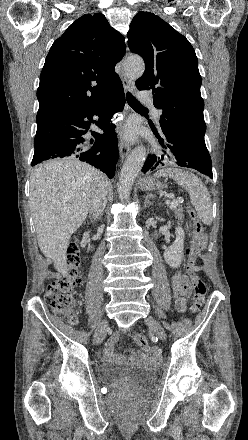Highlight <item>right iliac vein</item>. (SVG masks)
I'll return each mask as SVG.
<instances>
[{
  "mask_svg": "<svg viewBox=\"0 0 248 440\" xmlns=\"http://www.w3.org/2000/svg\"><path fill=\"white\" fill-rule=\"evenodd\" d=\"M107 327H108V321L107 320H103L99 324L98 328L96 329V332H95V335H94V340H95V342L97 344L100 343L104 339Z\"/></svg>",
  "mask_w": 248,
  "mask_h": 440,
  "instance_id": "obj_1",
  "label": "right iliac vein"
}]
</instances>
